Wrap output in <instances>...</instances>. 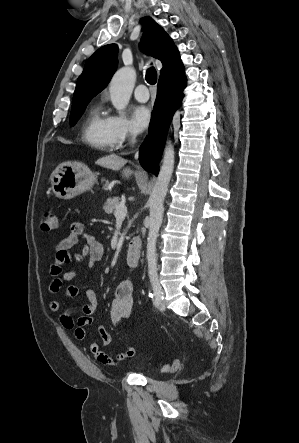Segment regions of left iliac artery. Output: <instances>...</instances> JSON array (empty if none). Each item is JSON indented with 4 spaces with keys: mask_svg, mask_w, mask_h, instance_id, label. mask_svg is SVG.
I'll return each mask as SVG.
<instances>
[{
    "mask_svg": "<svg viewBox=\"0 0 299 443\" xmlns=\"http://www.w3.org/2000/svg\"><path fill=\"white\" fill-rule=\"evenodd\" d=\"M151 285L154 292V305L158 306L161 300H163V295L161 292V286L158 279V274L155 271L150 272L149 274Z\"/></svg>",
    "mask_w": 299,
    "mask_h": 443,
    "instance_id": "44dca946",
    "label": "left iliac artery"
}]
</instances>
